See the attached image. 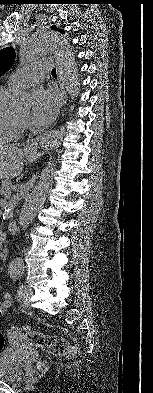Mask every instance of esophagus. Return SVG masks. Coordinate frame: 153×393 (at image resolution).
Instances as JSON below:
<instances>
[{"label": "esophagus", "mask_w": 153, "mask_h": 393, "mask_svg": "<svg viewBox=\"0 0 153 393\" xmlns=\"http://www.w3.org/2000/svg\"><path fill=\"white\" fill-rule=\"evenodd\" d=\"M60 88H61L62 96H63V99H62V107H63V106L66 105V102H67V95H66V92H65V90H64L63 84H60ZM39 138H40V137L34 139V141H32L31 143H29V144L26 146L25 150H26L27 152H32V151L36 150L37 145H38V140H39Z\"/></svg>", "instance_id": "1"}]
</instances>
